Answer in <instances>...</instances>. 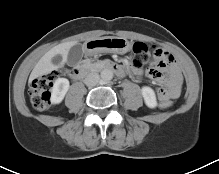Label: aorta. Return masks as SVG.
Returning <instances> with one entry per match:
<instances>
[{"label": "aorta", "instance_id": "aorta-1", "mask_svg": "<svg viewBox=\"0 0 219 174\" xmlns=\"http://www.w3.org/2000/svg\"><path fill=\"white\" fill-rule=\"evenodd\" d=\"M103 81H110L113 78V71L111 69H104L100 73Z\"/></svg>", "mask_w": 219, "mask_h": 174}]
</instances>
